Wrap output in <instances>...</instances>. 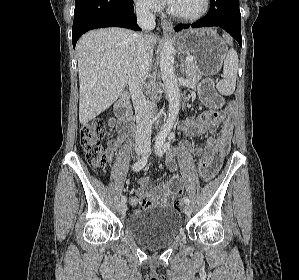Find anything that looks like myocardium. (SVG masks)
I'll use <instances>...</instances> for the list:
<instances>
[{
  "label": "myocardium",
  "instance_id": "f54148a6",
  "mask_svg": "<svg viewBox=\"0 0 299 280\" xmlns=\"http://www.w3.org/2000/svg\"><path fill=\"white\" fill-rule=\"evenodd\" d=\"M209 7H210V0H203V7L200 10V12H198L195 15H185V14H182V13L176 11L171 6L170 2H168V12L171 15H173L174 17L184 20V21H196V20L201 19L202 17H204L207 14Z\"/></svg>",
  "mask_w": 299,
  "mask_h": 280
}]
</instances>
